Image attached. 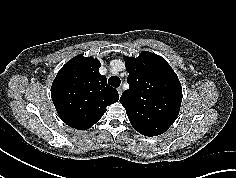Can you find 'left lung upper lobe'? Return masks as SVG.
Segmentation results:
<instances>
[{"instance_id": "left-lung-upper-lobe-1", "label": "left lung upper lobe", "mask_w": 236, "mask_h": 178, "mask_svg": "<svg viewBox=\"0 0 236 178\" xmlns=\"http://www.w3.org/2000/svg\"><path fill=\"white\" fill-rule=\"evenodd\" d=\"M124 59L130 88L120 103L130 123L145 136L164 133L180 110L182 87L177 75L164 58L148 51Z\"/></svg>"}]
</instances>
